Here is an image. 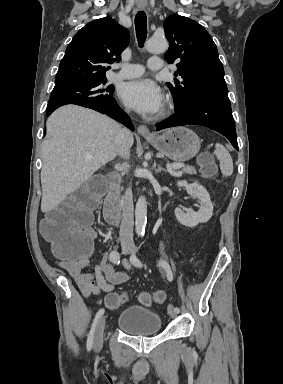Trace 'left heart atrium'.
<instances>
[{
	"label": "left heart atrium",
	"mask_w": 283,
	"mask_h": 384,
	"mask_svg": "<svg viewBox=\"0 0 283 384\" xmlns=\"http://www.w3.org/2000/svg\"><path fill=\"white\" fill-rule=\"evenodd\" d=\"M119 96L126 105L145 115L157 113L163 105L160 88L146 79L126 83Z\"/></svg>",
	"instance_id": "39dd6f15"
}]
</instances>
